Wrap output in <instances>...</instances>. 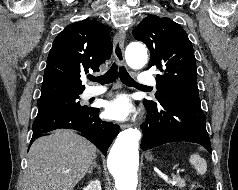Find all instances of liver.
I'll return each instance as SVG.
<instances>
[{
  "instance_id": "1",
  "label": "liver",
  "mask_w": 238,
  "mask_h": 190,
  "mask_svg": "<svg viewBox=\"0 0 238 190\" xmlns=\"http://www.w3.org/2000/svg\"><path fill=\"white\" fill-rule=\"evenodd\" d=\"M96 157V147L72 130L59 129L30 147L25 190H73Z\"/></svg>"
}]
</instances>
